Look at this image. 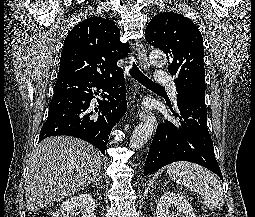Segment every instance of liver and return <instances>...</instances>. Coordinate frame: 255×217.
Masks as SVG:
<instances>
[{"instance_id":"obj_1","label":"liver","mask_w":255,"mask_h":217,"mask_svg":"<svg viewBox=\"0 0 255 217\" xmlns=\"http://www.w3.org/2000/svg\"><path fill=\"white\" fill-rule=\"evenodd\" d=\"M100 170V152L91 144L69 136L44 139L31 156L25 191L28 210L36 211L83 190Z\"/></svg>"}]
</instances>
